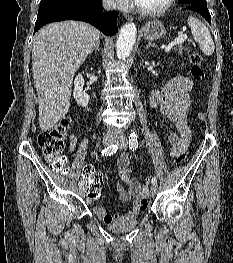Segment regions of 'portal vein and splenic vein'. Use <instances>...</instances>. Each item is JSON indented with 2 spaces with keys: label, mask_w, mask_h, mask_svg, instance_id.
Instances as JSON below:
<instances>
[{
  "label": "portal vein and splenic vein",
  "mask_w": 233,
  "mask_h": 263,
  "mask_svg": "<svg viewBox=\"0 0 233 263\" xmlns=\"http://www.w3.org/2000/svg\"><path fill=\"white\" fill-rule=\"evenodd\" d=\"M186 39H187L186 34H179L178 37L174 39V41H172L165 47V52H169L173 48V46L183 43Z\"/></svg>",
  "instance_id": "portal-vein-and-splenic-vein-1"
}]
</instances>
